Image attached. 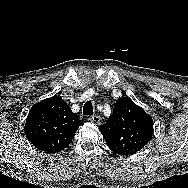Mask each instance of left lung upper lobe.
<instances>
[{
    "mask_svg": "<svg viewBox=\"0 0 188 188\" xmlns=\"http://www.w3.org/2000/svg\"><path fill=\"white\" fill-rule=\"evenodd\" d=\"M108 147L121 155L134 154L151 140L152 118L130 98L117 100L113 114L100 127Z\"/></svg>",
    "mask_w": 188,
    "mask_h": 188,
    "instance_id": "1",
    "label": "left lung upper lobe"
}]
</instances>
